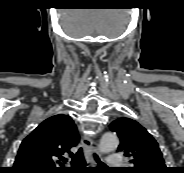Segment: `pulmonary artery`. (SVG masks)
Returning <instances> with one entry per match:
<instances>
[{"label":"pulmonary artery","instance_id":"e3ab8cb5","mask_svg":"<svg viewBox=\"0 0 184 173\" xmlns=\"http://www.w3.org/2000/svg\"><path fill=\"white\" fill-rule=\"evenodd\" d=\"M121 154H111L107 157V165L112 168H120L123 166Z\"/></svg>","mask_w":184,"mask_h":173}]
</instances>
